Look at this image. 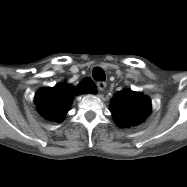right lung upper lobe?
Returning a JSON list of instances; mask_svg holds the SVG:
<instances>
[{
	"mask_svg": "<svg viewBox=\"0 0 187 187\" xmlns=\"http://www.w3.org/2000/svg\"><path fill=\"white\" fill-rule=\"evenodd\" d=\"M91 90L78 86L77 91L69 84H58L53 88L40 89L35 95V103L39 112L46 118L60 122L67 114L76 94L88 91L95 92L96 86L93 83Z\"/></svg>",
	"mask_w": 187,
	"mask_h": 187,
	"instance_id": "1",
	"label": "right lung upper lobe"
}]
</instances>
